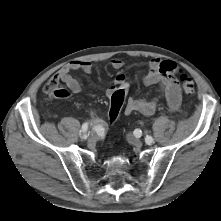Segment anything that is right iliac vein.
I'll return each instance as SVG.
<instances>
[{
    "instance_id": "1",
    "label": "right iliac vein",
    "mask_w": 221,
    "mask_h": 221,
    "mask_svg": "<svg viewBox=\"0 0 221 221\" xmlns=\"http://www.w3.org/2000/svg\"><path fill=\"white\" fill-rule=\"evenodd\" d=\"M96 139H97L96 134H95V133H91V134L89 135V137H88V142H89L90 144H93V143L96 141Z\"/></svg>"
}]
</instances>
